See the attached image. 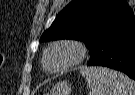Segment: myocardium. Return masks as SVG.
Returning a JSON list of instances; mask_svg holds the SVG:
<instances>
[{
	"label": "myocardium",
	"mask_w": 135,
	"mask_h": 95,
	"mask_svg": "<svg viewBox=\"0 0 135 95\" xmlns=\"http://www.w3.org/2000/svg\"><path fill=\"white\" fill-rule=\"evenodd\" d=\"M58 47L71 48L74 51L75 56L72 59V61L69 62L68 64H66L65 66L58 68V69H49L46 66V59H47L49 53ZM86 55H87V48L85 47V45L82 42L75 40V39H62V40L54 42L53 44H51L48 47V49L45 51L44 56L42 58V65H43L44 69L48 72L59 73V72H63L65 70H68V69L76 66L77 64H79L80 62H82L84 60Z\"/></svg>",
	"instance_id": "myocardium-1"
}]
</instances>
